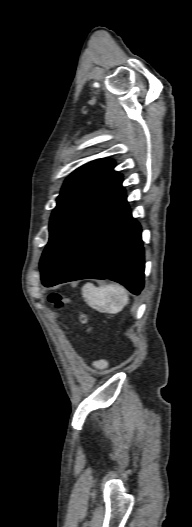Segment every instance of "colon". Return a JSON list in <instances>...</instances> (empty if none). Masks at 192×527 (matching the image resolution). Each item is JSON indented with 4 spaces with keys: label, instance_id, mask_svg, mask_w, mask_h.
I'll return each instance as SVG.
<instances>
[{
    "label": "colon",
    "instance_id": "colon-1",
    "mask_svg": "<svg viewBox=\"0 0 192 527\" xmlns=\"http://www.w3.org/2000/svg\"><path fill=\"white\" fill-rule=\"evenodd\" d=\"M49 301L51 304L54 305V307L56 309H62L65 307V305L67 304V299L64 298L61 294L59 293H52L50 294L49 296ZM80 320L81 322L86 326L87 330L89 329V326H88V317L87 315H85L84 313H81L80 314Z\"/></svg>",
    "mask_w": 192,
    "mask_h": 527
}]
</instances>
